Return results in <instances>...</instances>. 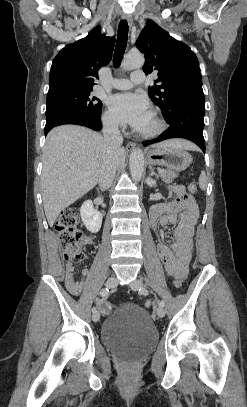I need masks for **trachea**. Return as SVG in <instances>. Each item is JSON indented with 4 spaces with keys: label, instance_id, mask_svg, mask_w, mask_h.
<instances>
[{
    "label": "trachea",
    "instance_id": "1",
    "mask_svg": "<svg viewBox=\"0 0 247 407\" xmlns=\"http://www.w3.org/2000/svg\"><path fill=\"white\" fill-rule=\"evenodd\" d=\"M128 40V23L126 20H121L118 26L117 43L114 50L113 65L118 67L123 59V54L127 47Z\"/></svg>",
    "mask_w": 247,
    "mask_h": 407
}]
</instances>
